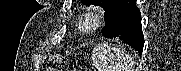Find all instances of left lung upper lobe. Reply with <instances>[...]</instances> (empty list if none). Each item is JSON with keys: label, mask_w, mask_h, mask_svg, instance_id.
Masks as SVG:
<instances>
[{"label": "left lung upper lobe", "mask_w": 181, "mask_h": 71, "mask_svg": "<svg viewBox=\"0 0 181 71\" xmlns=\"http://www.w3.org/2000/svg\"><path fill=\"white\" fill-rule=\"evenodd\" d=\"M116 1L117 0H81V2L86 5L94 4L101 6L105 12H107L116 3Z\"/></svg>", "instance_id": "5c2ea615"}]
</instances>
